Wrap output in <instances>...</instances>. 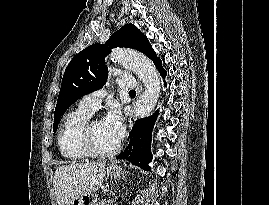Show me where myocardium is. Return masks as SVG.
Instances as JSON below:
<instances>
[{"instance_id":"1","label":"myocardium","mask_w":269,"mask_h":205,"mask_svg":"<svg viewBox=\"0 0 269 205\" xmlns=\"http://www.w3.org/2000/svg\"><path fill=\"white\" fill-rule=\"evenodd\" d=\"M99 121V119H89L83 126L80 134V143L83 147L84 151L87 153L89 157L93 158H108L112 157L115 154L118 153V151L121 148V144L118 141L114 148L108 151H100L98 150L94 143L92 138V127L93 125Z\"/></svg>"}]
</instances>
